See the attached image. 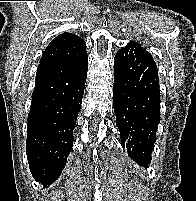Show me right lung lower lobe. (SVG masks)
I'll return each instance as SVG.
<instances>
[{
  "label": "right lung lower lobe",
  "mask_w": 196,
  "mask_h": 201,
  "mask_svg": "<svg viewBox=\"0 0 196 201\" xmlns=\"http://www.w3.org/2000/svg\"><path fill=\"white\" fill-rule=\"evenodd\" d=\"M88 59L38 66L28 114L26 154L32 176L44 187L58 179L73 146Z\"/></svg>",
  "instance_id": "obj_1"
}]
</instances>
